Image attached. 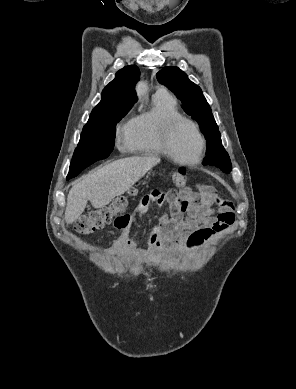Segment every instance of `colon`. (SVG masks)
I'll return each mask as SVG.
<instances>
[{
    "instance_id": "5ec220e1",
    "label": "colon",
    "mask_w": 296,
    "mask_h": 389,
    "mask_svg": "<svg viewBox=\"0 0 296 389\" xmlns=\"http://www.w3.org/2000/svg\"><path fill=\"white\" fill-rule=\"evenodd\" d=\"M171 179L175 187L184 193L189 192L188 176L185 170L179 169L174 171ZM199 188L201 191H207L209 189L205 185H200ZM128 206V197H118L112 203L101 208L90 210L81 216L76 224V230L82 234H90L110 223H114L115 226L123 225L127 221L128 215L126 211Z\"/></svg>"
}]
</instances>
